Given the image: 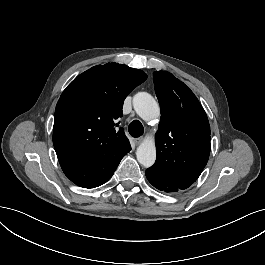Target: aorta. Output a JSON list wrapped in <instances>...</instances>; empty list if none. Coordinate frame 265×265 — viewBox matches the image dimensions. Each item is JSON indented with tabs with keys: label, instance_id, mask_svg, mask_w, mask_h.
<instances>
[{
	"label": "aorta",
	"instance_id": "obj_1",
	"mask_svg": "<svg viewBox=\"0 0 265 265\" xmlns=\"http://www.w3.org/2000/svg\"><path fill=\"white\" fill-rule=\"evenodd\" d=\"M133 106L139 117L152 121L160 117V107L155 99L147 92H138L133 99ZM136 157L140 164L150 167L156 160V144L152 137H145L136 149Z\"/></svg>",
	"mask_w": 265,
	"mask_h": 265
}]
</instances>
